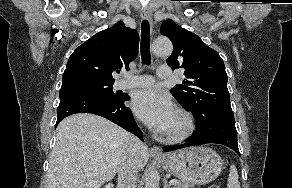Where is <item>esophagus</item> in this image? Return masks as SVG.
Instances as JSON below:
<instances>
[{
    "label": "esophagus",
    "instance_id": "esophagus-1",
    "mask_svg": "<svg viewBox=\"0 0 292 188\" xmlns=\"http://www.w3.org/2000/svg\"><path fill=\"white\" fill-rule=\"evenodd\" d=\"M142 17L150 22L152 25V13L149 8H144L142 10ZM150 153L154 157L162 158L164 155L162 154V151L159 146H153L150 150Z\"/></svg>",
    "mask_w": 292,
    "mask_h": 188
}]
</instances>
